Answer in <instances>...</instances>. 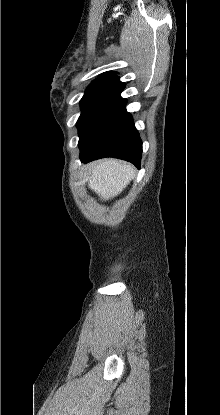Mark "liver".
<instances>
[{"instance_id": "obj_1", "label": "liver", "mask_w": 220, "mask_h": 415, "mask_svg": "<svg viewBox=\"0 0 220 415\" xmlns=\"http://www.w3.org/2000/svg\"><path fill=\"white\" fill-rule=\"evenodd\" d=\"M88 186L102 200H109L120 194L135 176L131 164L115 159H106L89 165Z\"/></svg>"}]
</instances>
